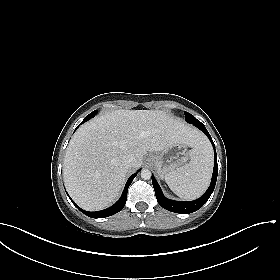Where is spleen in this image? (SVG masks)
<instances>
[{"mask_svg":"<svg viewBox=\"0 0 280 280\" xmlns=\"http://www.w3.org/2000/svg\"><path fill=\"white\" fill-rule=\"evenodd\" d=\"M213 169V154L208 143L191 150L190 162L165 175L169 188L180 198L193 200L208 188Z\"/></svg>","mask_w":280,"mask_h":280,"instance_id":"3e777b00","label":"spleen"}]
</instances>
